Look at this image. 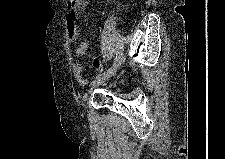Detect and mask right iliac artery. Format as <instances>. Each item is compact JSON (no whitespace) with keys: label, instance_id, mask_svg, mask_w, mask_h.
<instances>
[{"label":"right iliac artery","instance_id":"1","mask_svg":"<svg viewBox=\"0 0 225 159\" xmlns=\"http://www.w3.org/2000/svg\"><path fill=\"white\" fill-rule=\"evenodd\" d=\"M119 57H120V52H118V54H116L114 61L116 62L119 59Z\"/></svg>","mask_w":225,"mask_h":159}]
</instances>
